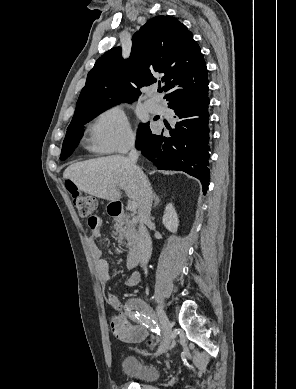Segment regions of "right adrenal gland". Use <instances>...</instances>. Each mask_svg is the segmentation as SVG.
<instances>
[{"mask_svg":"<svg viewBox=\"0 0 296 389\" xmlns=\"http://www.w3.org/2000/svg\"><path fill=\"white\" fill-rule=\"evenodd\" d=\"M153 199H154V206L153 207L156 208L160 202V198H159V196H157V194L155 192L153 193Z\"/></svg>","mask_w":296,"mask_h":389,"instance_id":"1","label":"right adrenal gland"}]
</instances>
